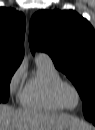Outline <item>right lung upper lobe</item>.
<instances>
[{
    "mask_svg": "<svg viewBox=\"0 0 95 130\" xmlns=\"http://www.w3.org/2000/svg\"><path fill=\"white\" fill-rule=\"evenodd\" d=\"M26 19L14 9L0 8V66H19L23 58Z\"/></svg>",
    "mask_w": 95,
    "mask_h": 130,
    "instance_id": "right-lung-upper-lobe-1",
    "label": "right lung upper lobe"
}]
</instances>
